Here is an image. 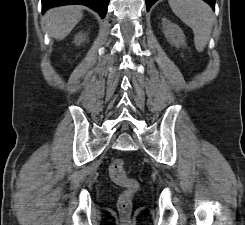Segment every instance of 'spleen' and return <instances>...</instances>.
<instances>
[{"label": "spleen", "instance_id": "3e777b00", "mask_svg": "<svg viewBox=\"0 0 245 225\" xmlns=\"http://www.w3.org/2000/svg\"><path fill=\"white\" fill-rule=\"evenodd\" d=\"M169 5L175 15L193 30L195 47L202 52L214 24L210 6L202 0H169Z\"/></svg>", "mask_w": 245, "mask_h": 225}]
</instances>
